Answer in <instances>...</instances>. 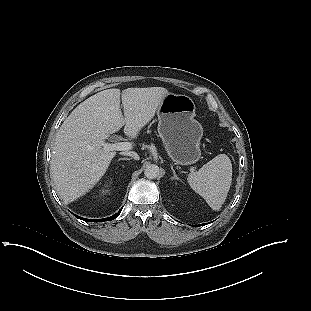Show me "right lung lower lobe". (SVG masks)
<instances>
[{
	"instance_id": "98d812e1",
	"label": "right lung lower lobe",
	"mask_w": 311,
	"mask_h": 311,
	"mask_svg": "<svg viewBox=\"0 0 311 311\" xmlns=\"http://www.w3.org/2000/svg\"><path fill=\"white\" fill-rule=\"evenodd\" d=\"M120 211L117 213V214H114L113 216H110L108 218H104V219H85V218H82V217H79V216H76L77 218L81 219V220H84V221H89V222H103V221H109V220H113L115 219L118 215H119Z\"/></svg>"
}]
</instances>
